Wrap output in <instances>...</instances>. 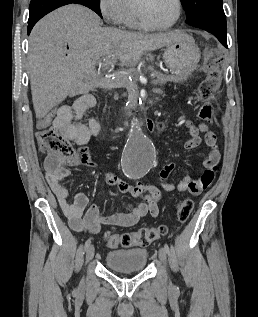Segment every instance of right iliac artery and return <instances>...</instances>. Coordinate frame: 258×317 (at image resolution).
Returning a JSON list of instances; mask_svg holds the SVG:
<instances>
[{
  "mask_svg": "<svg viewBox=\"0 0 258 317\" xmlns=\"http://www.w3.org/2000/svg\"><path fill=\"white\" fill-rule=\"evenodd\" d=\"M91 243V239H88L86 242H85V245H84V248L87 249L89 247Z\"/></svg>",
  "mask_w": 258,
  "mask_h": 317,
  "instance_id": "1",
  "label": "right iliac artery"
}]
</instances>
